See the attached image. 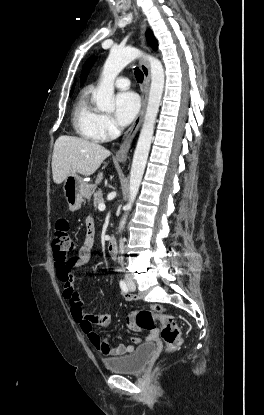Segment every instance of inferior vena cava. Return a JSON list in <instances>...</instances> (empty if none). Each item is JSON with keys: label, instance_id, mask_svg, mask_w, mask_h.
<instances>
[{"label": "inferior vena cava", "instance_id": "obj_1", "mask_svg": "<svg viewBox=\"0 0 264 415\" xmlns=\"http://www.w3.org/2000/svg\"><path fill=\"white\" fill-rule=\"evenodd\" d=\"M120 253L123 254L124 253V244H123V240H120ZM120 263L123 266V257H120Z\"/></svg>", "mask_w": 264, "mask_h": 415}]
</instances>
